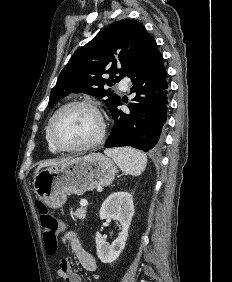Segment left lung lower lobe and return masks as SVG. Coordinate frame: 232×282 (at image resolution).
Instances as JSON below:
<instances>
[{
    "instance_id": "obj_1",
    "label": "left lung lower lobe",
    "mask_w": 232,
    "mask_h": 282,
    "mask_svg": "<svg viewBox=\"0 0 232 282\" xmlns=\"http://www.w3.org/2000/svg\"><path fill=\"white\" fill-rule=\"evenodd\" d=\"M136 96L128 105L130 112L110 110L114 125L106 147L132 146L145 152L159 149L163 143V127L167 119L168 84L163 56L152 40L140 62L127 75Z\"/></svg>"
}]
</instances>
